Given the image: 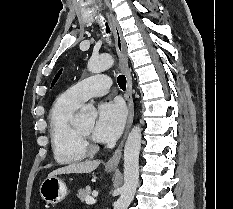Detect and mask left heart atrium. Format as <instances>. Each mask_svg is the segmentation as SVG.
Instances as JSON below:
<instances>
[{
    "instance_id": "obj_1",
    "label": "left heart atrium",
    "mask_w": 233,
    "mask_h": 209,
    "mask_svg": "<svg viewBox=\"0 0 233 209\" xmlns=\"http://www.w3.org/2000/svg\"><path fill=\"white\" fill-rule=\"evenodd\" d=\"M125 122V110L118 102H103L98 108V118L93 138L98 142L114 141L121 133Z\"/></svg>"
}]
</instances>
